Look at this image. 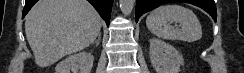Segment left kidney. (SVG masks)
Segmentation results:
<instances>
[{
    "label": "left kidney",
    "instance_id": "left-kidney-1",
    "mask_svg": "<svg viewBox=\"0 0 244 73\" xmlns=\"http://www.w3.org/2000/svg\"><path fill=\"white\" fill-rule=\"evenodd\" d=\"M150 42V60L157 73H179L183 56L172 45L153 38Z\"/></svg>",
    "mask_w": 244,
    "mask_h": 73
}]
</instances>
